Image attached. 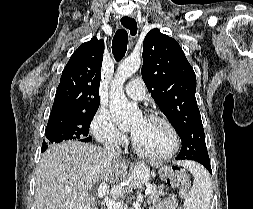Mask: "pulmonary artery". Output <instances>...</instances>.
<instances>
[{"instance_id":"1","label":"pulmonary artery","mask_w":253,"mask_h":209,"mask_svg":"<svg viewBox=\"0 0 253 209\" xmlns=\"http://www.w3.org/2000/svg\"><path fill=\"white\" fill-rule=\"evenodd\" d=\"M126 95L135 100H141L145 97L146 89L141 78H133L124 88Z\"/></svg>"}]
</instances>
